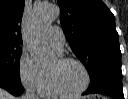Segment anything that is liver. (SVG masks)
Returning a JSON list of instances; mask_svg holds the SVG:
<instances>
[{
  "label": "liver",
  "mask_w": 128,
  "mask_h": 99,
  "mask_svg": "<svg viewBox=\"0 0 128 99\" xmlns=\"http://www.w3.org/2000/svg\"><path fill=\"white\" fill-rule=\"evenodd\" d=\"M0 99H15V98L11 94H9L7 91L0 88Z\"/></svg>",
  "instance_id": "6515ba94"
}]
</instances>
